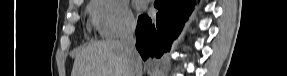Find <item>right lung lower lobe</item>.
Returning <instances> with one entry per match:
<instances>
[{
  "mask_svg": "<svg viewBox=\"0 0 287 76\" xmlns=\"http://www.w3.org/2000/svg\"><path fill=\"white\" fill-rule=\"evenodd\" d=\"M194 5L195 0H156L154 6L159 10L157 20L151 21L148 16L139 17L136 48L143 60L159 58L169 51Z\"/></svg>",
  "mask_w": 287,
  "mask_h": 76,
  "instance_id": "right-lung-lower-lobe-1",
  "label": "right lung lower lobe"
}]
</instances>
